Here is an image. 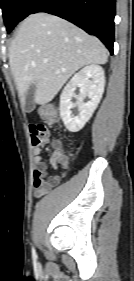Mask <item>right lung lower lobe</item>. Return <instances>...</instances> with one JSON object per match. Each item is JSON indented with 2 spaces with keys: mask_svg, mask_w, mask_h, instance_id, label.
<instances>
[{
  "mask_svg": "<svg viewBox=\"0 0 134 281\" xmlns=\"http://www.w3.org/2000/svg\"><path fill=\"white\" fill-rule=\"evenodd\" d=\"M46 12L97 36L113 54L115 0H34L25 17Z\"/></svg>",
  "mask_w": 134,
  "mask_h": 281,
  "instance_id": "98d812e1",
  "label": "right lung lower lobe"
}]
</instances>
